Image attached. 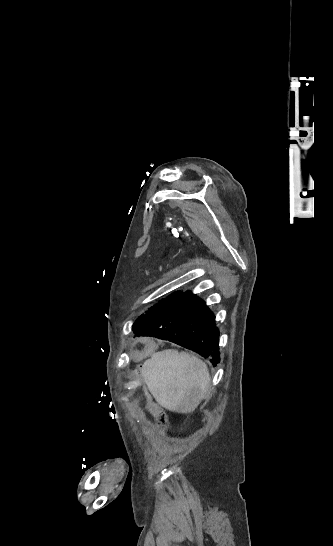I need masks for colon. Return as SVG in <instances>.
<instances>
[{"instance_id": "5ec220e1", "label": "colon", "mask_w": 333, "mask_h": 546, "mask_svg": "<svg viewBox=\"0 0 333 546\" xmlns=\"http://www.w3.org/2000/svg\"><path fill=\"white\" fill-rule=\"evenodd\" d=\"M131 373H132L131 376H132L133 379H138L139 378V373H140V368L138 366H133L131 368ZM140 394L142 395V397L144 398L145 401H150L151 400V395L149 394V389L147 388L146 385H141L140 386ZM150 410H151V413H152L154 419L156 420V422L160 426H164V425H166L168 423V416L160 407L152 405L150 407Z\"/></svg>"}]
</instances>
